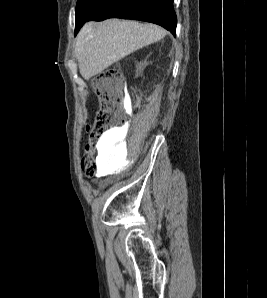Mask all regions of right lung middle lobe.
I'll return each instance as SVG.
<instances>
[{
	"label": "right lung middle lobe",
	"mask_w": 267,
	"mask_h": 298,
	"mask_svg": "<svg viewBox=\"0 0 267 298\" xmlns=\"http://www.w3.org/2000/svg\"><path fill=\"white\" fill-rule=\"evenodd\" d=\"M103 0H78L76 6V26L86 21Z\"/></svg>",
	"instance_id": "obj_1"
}]
</instances>
